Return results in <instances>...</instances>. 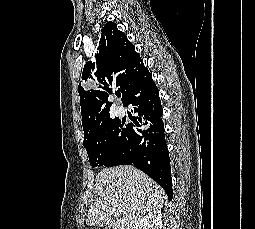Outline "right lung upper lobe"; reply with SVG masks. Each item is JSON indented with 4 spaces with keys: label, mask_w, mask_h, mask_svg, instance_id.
Instances as JSON below:
<instances>
[{
    "label": "right lung upper lobe",
    "mask_w": 255,
    "mask_h": 229,
    "mask_svg": "<svg viewBox=\"0 0 255 229\" xmlns=\"http://www.w3.org/2000/svg\"><path fill=\"white\" fill-rule=\"evenodd\" d=\"M145 67L140 55L127 36L117 29V24L107 22L94 54L93 61L84 66L82 79H92L96 88L84 90L79 85L82 126L84 141L88 140L95 130L110 117L111 102L108 101L114 88L122 93L125 102L131 80ZM83 141V142H84Z\"/></svg>",
    "instance_id": "cb5924a9"
}]
</instances>
